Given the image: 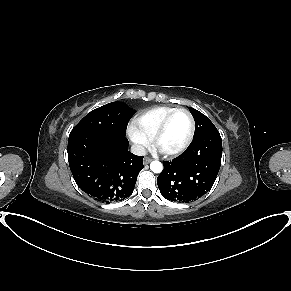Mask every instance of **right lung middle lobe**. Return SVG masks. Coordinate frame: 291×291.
<instances>
[{"mask_svg":"<svg viewBox=\"0 0 291 291\" xmlns=\"http://www.w3.org/2000/svg\"><path fill=\"white\" fill-rule=\"evenodd\" d=\"M135 112L123 103H108L88 113L72 129L70 136L90 132L126 135L128 122Z\"/></svg>","mask_w":291,"mask_h":291,"instance_id":"obj_1","label":"right lung middle lobe"}]
</instances>
